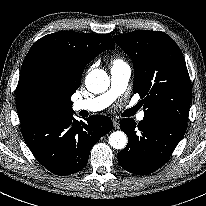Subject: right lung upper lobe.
I'll return each instance as SVG.
<instances>
[{"label":"right lung upper lobe","mask_w":206,"mask_h":206,"mask_svg":"<svg viewBox=\"0 0 206 206\" xmlns=\"http://www.w3.org/2000/svg\"><path fill=\"white\" fill-rule=\"evenodd\" d=\"M114 48V41L107 34L60 31L37 40L24 59L16 89L22 129L29 127L33 88L43 72H47L57 85L59 97L71 100L80 86L85 66L106 49ZM71 113L72 109L68 114Z\"/></svg>","instance_id":"right-lung-upper-lobe-1"}]
</instances>
